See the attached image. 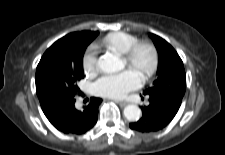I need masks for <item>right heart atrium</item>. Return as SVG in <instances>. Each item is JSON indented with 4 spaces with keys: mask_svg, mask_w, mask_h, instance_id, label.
Returning a JSON list of instances; mask_svg holds the SVG:
<instances>
[{
    "mask_svg": "<svg viewBox=\"0 0 225 155\" xmlns=\"http://www.w3.org/2000/svg\"><path fill=\"white\" fill-rule=\"evenodd\" d=\"M97 68V58L94 48H89L83 57V69L87 74H92Z\"/></svg>",
    "mask_w": 225,
    "mask_h": 155,
    "instance_id": "1",
    "label": "right heart atrium"
}]
</instances>
